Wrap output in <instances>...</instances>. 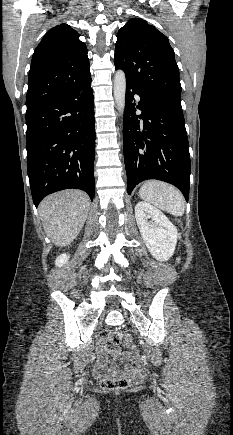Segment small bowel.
<instances>
[{
  "instance_id": "1",
  "label": "small bowel",
  "mask_w": 233,
  "mask_h": 435,
  "mask_svg": "<svg viewBox=\"0 0 233 435\" xmlns=\"http://www.w3.org/2000/svg\"><path fill=\"white\" fill-rule=\"evenodd\" d=\"M98 349L99 353L103 355H109L111 360L114 362H129V365L126 368L128 373L138 375L144 372V368L140 364L139 355L137 352L127 353L122 352L117 348H109L108 340H100L98 343ZM93 372L97 377H104L117 372V369L111 366L108 358L104 356L95 363Z\"/></svg>"
}]
</instances>
